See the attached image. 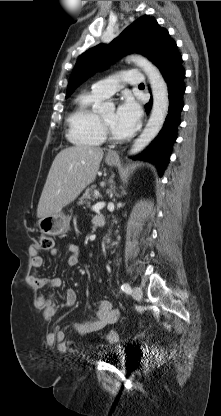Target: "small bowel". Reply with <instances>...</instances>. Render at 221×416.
Listing matches in <instances>:
<instances>
[{"label": "small bowel", "mask_w": 221, "mask_h": 416, "mask_svg": "<svg viewBox=\"0 0 221 416\" xmlns=\"http://www.w3.org/2000/svg\"><path fill=\"white\" fill-rule=\"evenodd\" d=\"M66 250L68 256L66 258L67 266H75L79 262L80 258V249L79 246L75 243H68L66 245ZM52 254H57L59 252L58 248L52 249ZM43 265V259L38 254V250L33 248L31 251V273L29 275V280L31 284L37 289L43 288H59L62 284L61 279L58 277H42L37 273ZM36 304L43 309L44 316L46 318H52L55 316L58 310V305L56 299L53 296H38L36 298ZM76 302V293L73 289H67L65 292V306L70 307ZM119 317V311L114 308L113 304L109 300H101L97 305L96 316L93 320L87 322H75L71 323L73 329L79 335H88L90 333L101 330L105 326L115 323ZM58 337L64 335V331L59 329L56 332Z\"/></svg>", "instance_id": "small-bowel-1"}]
</instances>
